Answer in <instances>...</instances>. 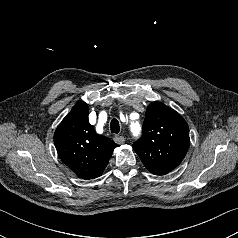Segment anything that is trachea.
Listing matches in <instances>:
<instances>
[{
  "instance_id": "3493384b",
  "label": "trachea",
  "mask_w": 238,
  "mask_h": 238,
  "mask_svg": "<svg viewBox=\"0 0 238 238\" xmlns=\"http://www.w3.org/2000/svg\"><path fill=\"white\" fill-rule=\"evenodd\" d=\"M110 127H111V132L112 133H116V134L119 133L120 125H119V122H118L117 119H112Z\"/></svg>"
}]
</instances>
